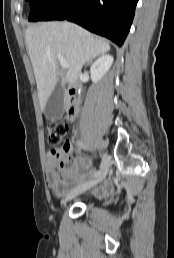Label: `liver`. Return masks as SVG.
<instances>
[{"mask_svg":"<svg viewBox=\"0 0 174 258\" xmlns=\"http://www.w3.org/2000/svg\"><path fill=\"white\" fill-rule=\"evenodd\" d=\"M29 56L37 83L39 103L44 110L59 82L57 55L69 64L61 85L77 82L85 64L110 50L105 40L96 39L82 27L69 22H48L29 27L25 32Z\"/></svg>","mask_w":174,"mask_h":258,"instance_id":"liver-1","label":"liver"}]
</instances>
